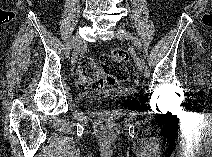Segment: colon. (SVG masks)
I'll list each match as a JSON object with an SVG mask.
<instances>
[{"instance_id": "1", "label": "colon", "mask_w": 212, "mask_h": 157, "mask_svg": "<svg viewBox=\"0 0 212 157\" xmlns=\"http://www.w3.org/2000/svg\"><path fill=\"white\" fill-rule=\"evenodd\" d=\"M128 77V54L121 48H114L100 58L99 64L87 60L78 76L80 88L99 89L106 85L124 82Z\"/></svg>"}]
</instances>
